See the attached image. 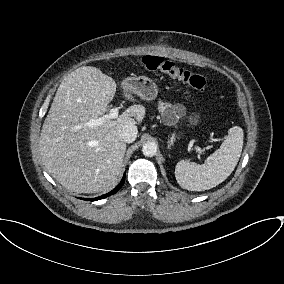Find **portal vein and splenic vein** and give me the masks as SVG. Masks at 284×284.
<instances>
[{"label": "portal vein and splenic vein", "instance_id": "18ae733b", "mask_svg": "<svg viewBox=\"0 0 284 284\" xmlns=\"http://www.w3.org/2000/svg\"><path fill=\"white\" fill-rule=\"evenodd\" d=\"M119 114V109L118 108H112L109 113L99 119L93 120L92 122L89 123L90 126H94V125H100L102 124L106 119H115L118 117ZM196 150L199 153H202V149L200 147H196Z\"/></svg>", "mask_w": 284, "mask_h": 284}]
</instances>
